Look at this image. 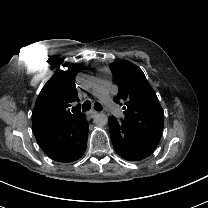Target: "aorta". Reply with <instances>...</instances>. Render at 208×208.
Returning <instances> with one entry per match:
<instances>
[{
  "instance_id": "762f6f07",
  "label": "aorta",
  "mask_w": 208,
  "mask_h": 208,
  "mask_svg": "<svg viewBox=\"0 0 208 208\" xmlns=\"http://www.w3.org/2000/svg\"><path fill=\"white\" fill-rule=\"evenodd\" d=\"M108 122V117L104 113H96L93 118V123L97 126H105Z\"/></svg>"
}]
</instances>
